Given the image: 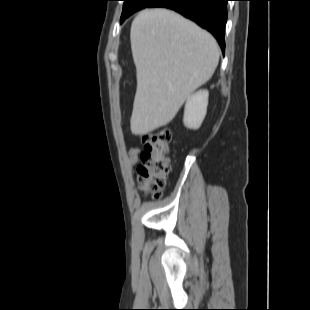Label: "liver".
Wrapping results in <instances>:
<instances>
[{
    "instance_id": "obj_1",
    "label": "liver",
    "mask_w": 310,
    "mask_h": 310,
    "mask_svg": "<svg viewBox=\"0 0 310 310\" xmlns=\"http://www.w3.org/2000/svg\"><path fill=\"white\" fill-rule=\"evenodd\" d=\"M130 40L137 73L130 128L144 135L171 122L190 94L212 77L220 49L210 33L167 9L141 11Z\"/></svg>"
}]
</instances>
